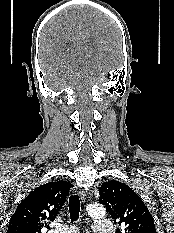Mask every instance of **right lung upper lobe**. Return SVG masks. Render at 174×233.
I'll list each match as a JSON object with an SVG mask.
<instances>
[{
	"label": "right lung upper lobe",
	"instance_id": "obj_1",
	"mask_svg": "<svg viewBox=\"0 0 174 233\" xmlns=\"http://www.w3.org/2000/svg\"><path fill=\"white\" fill-rule=\"evenodd\" d=\"M72 186L67 181L48 182L30 192L12 215L7 233H41L48 228L47 221L59 214Z\"/></svg>",
	"mask_w": 174,
	"mask_h": 233
}]
</instances>
